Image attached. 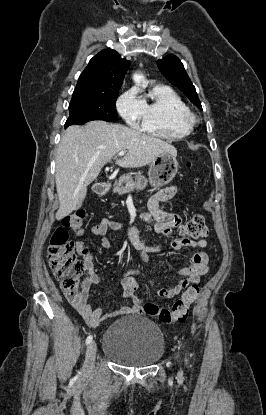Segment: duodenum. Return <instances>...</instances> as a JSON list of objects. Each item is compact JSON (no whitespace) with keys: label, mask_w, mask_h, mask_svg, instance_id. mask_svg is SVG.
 <instances>
[{"label":"duodenum","mask_w":266,"mask_h":415,"mask_svg":"<svg viewBox=\"0 0 266 415\" xmlns=\"http://www.w3.org/2000/svg\"><path fill=\"white\" fill-rule=\"evenodd\" d=\"M108 189L107 182L100 181L94 184L93 191L97 195H104Z\"/></svg>","instance_id":"410a0bca"}]
</instances>
